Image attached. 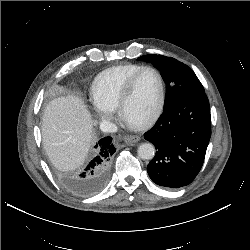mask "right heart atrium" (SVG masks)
Masks as SVG:
<instances>
[{"mask_svg":"<svg viewBox=\"0 0 250 250\" xmlns=\"http://www.w3.org/2000/svg\"><path fill=\"white\" fill-rule=\"evenodd\" d=\"M95 112H96V116L101 121H108L110 119V111L100 107L97 104H95Z\"/></svg>","mask_w":250,"mask_h":250,"instance_id":"1","label":"right heart atrium"}]
</instances>
